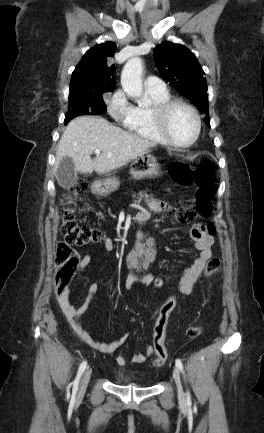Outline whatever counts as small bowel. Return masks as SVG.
<instances>
[{"mask_svg":"<svg viewBox=\"0 0 264 433\" xmlns=\"http://www.w3.org/2000/svg\"><path fill=\"white\" fill-rule=\"evenodd\" d=\"M147 207L150 211L153 212H162L168 209H171V205L167 202L163 201H148ZM190 236L195 241L196 248L199 251V255L194 263L185 269L180 281H179V289L180 293L183 295H189L192 292L193 286L197 279L200 277L206 263L212 257V247L214 240L207 233L206 227L203 223L198 222L195 223L190 229ZM103 245L105 247L106 252H111L113 250L112 242L105 238L103 241ZM91 261V257L89 254H85L81 260V267L87 266ZM135 282H142L146 285H153L157 289H163L165 287V282L161 278H155L151 275H130L126 279V287L131 289ZM97 293V286L94 283H91L87 287V291L84 297L82 304L79 307H76L72 304L70 300V290L67 289L62 294L58 295L57 300L62 309L63 314L68 320L70 326L73 330L78 334V336L90 345L95 350L112 354L117 351L128 339V334H124L120 336L113 342L104 343L94 340L89 332L85 329L82 324V316L88 308V305L94 295ZM158 313V311H157ZM155 349L153 346H148L145 352L138 353L132 356L131 361L133 363H143L146 359L152 355H155ZM116 363L119 366H124L127 363V360L124 356L118 355L115 358Z\"/></svg>","mask_w":264,"mask_h":433,"instance_id":"c3829d8e","label":"small bowel"}]
</instances>
